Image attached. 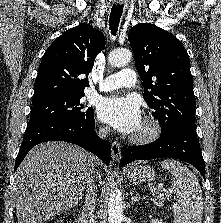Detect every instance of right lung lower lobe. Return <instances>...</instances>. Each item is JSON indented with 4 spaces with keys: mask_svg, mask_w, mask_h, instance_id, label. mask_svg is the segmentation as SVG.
Here are the masks:
<instances>
[{
    "mask_svg": "<svg viewBox=\"0 0 221 223\" xmlns=\"http://www.w3.org/2000/svg\"><path fill=\"white\" fill-rule=\"evenodd\" d=\"M94 117L84 121L50 119L34 125H28L15 161V169L35 145L61 140L83 147L98 156L105 164L111 159V146L107 140L100 139L95 132Z\"/></svg>",
    "mask_w": 221,
    "mask_h": 223,
    "instance_id": "obj_1",
    "label": "right lung lower lobe"
}]
</instances>
